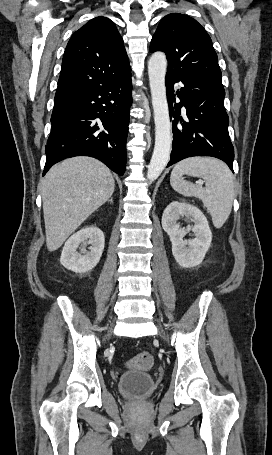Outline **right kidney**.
Listing matches in <instances>:
<instances>
[{"mask_svg":"<svg viewBox=\"0 0 272 455\" xmlns=\"http://www.w3.org/2000/svg\"><path fill=\"white\" fill-rule=\"evenodd\" d=\"M88 244L91 245L89 251L85 249ZM104 245V234L99 228L95 226L83 228L66 241L60 262L65 268L73 272H88L100 261ZM79 246L80 252L77 251Z\"/></svg>","mask_w":272,"mask_h":455,"instance_id":"ca27d5eb","label":"right kidney"}]
</instances>
